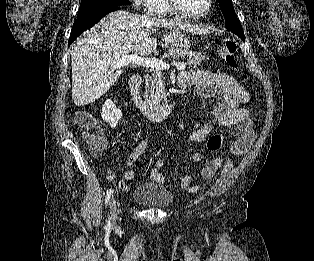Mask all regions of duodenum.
Listing matches in <instances>:
<instances>
[{
    "instance_id": "duodenum-1",
    "label": "duodenum",
    "mask_w": 314,
    "mask_h": 261,
    "mask_svg": "<svg viewBox=\"0 0 314 261\" xmlns=\"http://www.w3.org/2000/svg\"><path fill=\"white\" fill-rule=\"evenodd\" d=\"M129 91L132 104L138 108L147 118L153 121L166 120L174 110V100H171L165 105H160L144 100L141 93V77L139 75L132 76L129 83Z\"/></svg>"
}]
</instances>
